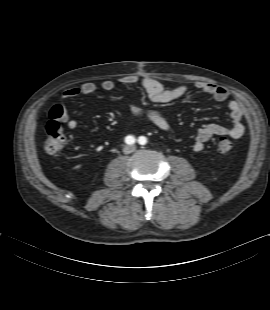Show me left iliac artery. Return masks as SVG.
Returning a JSON list of instances; mask_svg holds the SVG:
<instances>
[{"mask_svg":"<svg viewBox=\"0 0 270 310\" xmlns=\"http://www.w3.org/2000/svg\"><path fill=\"white\" fill-rule=\"evenodd\" d=\"M138 142L141 145H145L147 143V138L144 136H141V137H139Z\"/></svg>","mask_w":270,"mask_h":310,"instance_id":"obj_1","label":"left iliac artery"}]
</instances>
